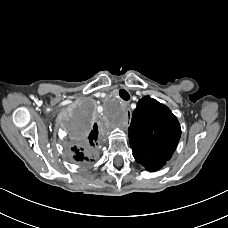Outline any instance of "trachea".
<instances>
[{
    "label": "trachea",
    "mask_w": 228,
    "mask_h": 228,
    "mask_svg": "<svg viewBox=\"0 0 228 228\" xmlns=\"http://www.w3.org/2000/svg\"><path fill=\"white\" fill-rule=\"evenodd\" d=\"M119 95H120V97H121L123 100H125V101H128V100L130 99V95H129L128 92H127L126 90H124V89H121V90L119 91Z\"/></svg>",
    "instance_id": "obj_1"
}]
</instances>
